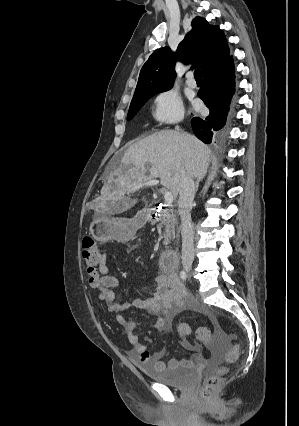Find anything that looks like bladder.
Returning a JSON list of instances; mask_svg holds the SVG:
<instances>
[{"label":"bladder","instance_id":"bladder-1","mask_svg":"<svg viewBox=\"0 0 299 426\" xmlns=\"http://www.w3.org/2000/svg\"><path fill=\"white\" fill-rule=\"evenodd\" d=\"M138 366L148 378L178 389H188L197 381V373L193 369L179 367L159 369L149 363H139Z\"/></svg>","mask_w":299,"mask_h":426}]
</instances>
